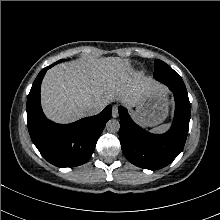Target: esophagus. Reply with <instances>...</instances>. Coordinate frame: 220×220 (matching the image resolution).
I'll return each mask as SVG.
<instances>
[{
  "instance_id": "1",
  "label": "esophagus",
  "mask_w": 220,
  "mask_h": 220,
  "mask_svg": "<svg viewBox=\"0 0 220 220\" xmlns=\"http://www.w3.org/2000/svg\"><path fill=\"white\" fill-rule=\"evenodd\" d=\"M118 115H119V113H118V107H117L116 105H114L113 108H112V117H113V118H117Z\"/></svg>"
}]
</instances>
